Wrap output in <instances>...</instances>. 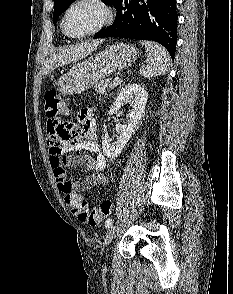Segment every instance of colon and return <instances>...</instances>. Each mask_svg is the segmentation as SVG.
<instances>
[{
    "mask_svg": "<svg viewBox=\"0 0 233 294\" xmlns=\"http://www.w3.org/2000/svg\"><path fill=\"white\" fill-rule=\"evenodd\" d=\"M55 110L68 109L64 106L56 91H48L45 94L44 111L46 116L53 117ZM65 202L73 215L77 216L81 222L89 224L90 226L98 225L112 210V203L110 200H104L99 205L89 208L80 195L71 192L65 193Z\"/></svg>",
    "mask_w": 233,
    "mask_h": 294,
    "instance_id": "1",
    "label": "colon"
}]
</instances>
